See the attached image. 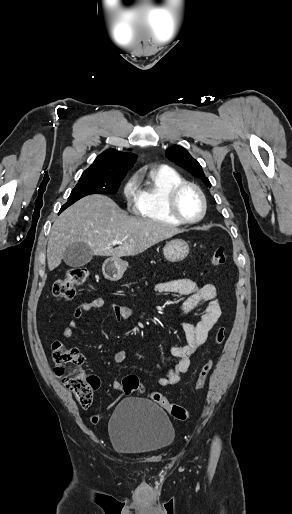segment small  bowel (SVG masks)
Here are the masks:
<instances>
[{
  "label": "small bowel",
  "mask_w": 292,
  "mask_h": 514,
  "mask_svg": "<svg viewBox=\"0 0 292 514\" xmlns=\"http://www.w3.org/2000/svg\"><path fill=\"white\" fill-rule=\"evenodd\" d=\"M155 290L161 293L187 297L186 301L178 309L179 317L189 315L197 310L203 312L201 319L195 324L186 321L179 322V326L185 334L186 343L171 348V354L178 361L157 378L159 386L168 387L177 384L181 376L188 371L191 359L206 341L208 333L221 317L222 307L218 299L217 288L212 283L199 284L189 278H177L156 284ZM105 305L106 300L103 297L80 302L74 310L73 319L69 321L63 330V336L67 339L72 338L78 322L84 314L90 310L101 309ZM112 307L117 319L126 320L135 315L134 309L127 305L113 303ZM114 360L117 364L123 363L125 360L124 351H115ZM112 386L115 390L119 391L117 393L118 397L111 401V404L116 406L118 404L117 400L123 398L125 393L120 391L122 385L119 380H114ZM105 409L110 411L112 406L107 404Z\"/></svg>",
  "instance_id": "1"
}]
</instances>
